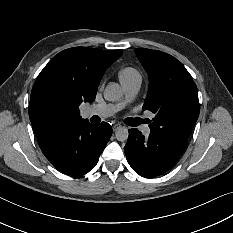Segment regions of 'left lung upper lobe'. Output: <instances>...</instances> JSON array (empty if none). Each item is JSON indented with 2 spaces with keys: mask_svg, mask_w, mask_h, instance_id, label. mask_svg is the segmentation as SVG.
<instances>
[{
  "mask_svg": "<svg viewBox=\"0 0 233 233\" xmlns=\"http://www.w3.org/2000/svg\"><path fill=\"white\" fill-rule=\"evenodd\" d=\"M149 75L143 110L155 114L151 133L188 140L198 119L197 87L181 62L173 56L146 48L135 49Z\"/></svg>",
  "mask_w": 233,
  "mask_h": 233,
  "instance_id": "obj_1",
  "label": "left lung upper lobe"
}]
</instances>
